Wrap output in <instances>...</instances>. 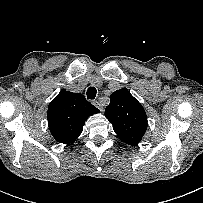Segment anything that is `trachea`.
Returning a JSON list of instances; mask_svg holds the SVG:
<instances>
[{
    "label": "trachea",
    "mask_w": 203,
    "mask_h": 203,
    "mask_svg": "<svg viewBox=\"0 0 203 203\" xmlns=\"http://www.w3.org/2000/svg\"><path fill=\"white\" fill-rule=\"evenodd\" d=\"M96 94H97V90H96L95 87H92V86H91V87H89V88L87 89V98H88V99H91V100L95 99Z\"/></svg>",
    "instance_id": "3493384b"
}]
</instances>
